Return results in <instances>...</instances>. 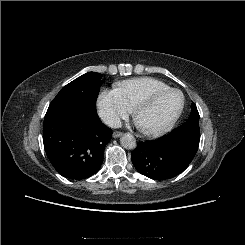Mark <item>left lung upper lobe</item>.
<instances>
[{"label": "left lung upper lobe", "mask_w": 245, "mask_h": 245, "mask_svg": "<svg viewBox=\"0 0 245 245\" xmlns=\"http://www.w3.org/2000/svg\"><path fill=\"white\" fill-rule=\"evenodd\" d=\"M173 134L185 133L200 137L199 113L196 105L192 102L191 113L187 121L172 131Z\"/></svg>", "instance_id": "1"}]
</instances>
